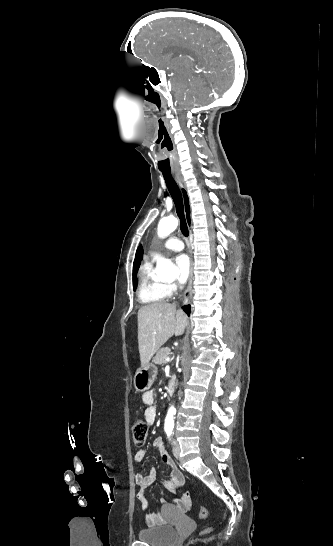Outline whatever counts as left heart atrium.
Returning <instances> with one entry per match:
<instances>
[{
	"instance_id": "1",
	"label": "left heart atrium",
	"mask_w": 333,
	"mask_h": 546,
	"mask_svg": "<svg viewBox=\"0 0 333 546\" xmlns=\"http://www.w3.org/2000/svg\"><path fill=\"white\" fill-rule=\"evenodd\" d=\"M175 267L178 281L184 283L191 271V261L186 254H179L175 257Z\"/></svg>"
}]
</instances>
